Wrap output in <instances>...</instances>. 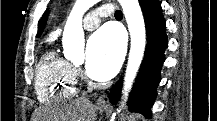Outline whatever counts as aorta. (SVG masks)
Wrapping results in <instances>:
<instances>
[{"label":"aorta","mask_w":217,"mask_h":121,"mask_svg":"<svg viewBox=\"0 0 217 121\" xmlns=\"http://www.w3.org/2000/svg\"><path fill=\"white\" fill-rule=\"evenodd\" d=\"M97 2L98 0H76L67 19L62 38L64 55L67 59L75 61L84 58L82 18L84 13ZM119 3L122 6L131 37L130 53L123 85V96L126 99L144 56L146 31L139 1L119 0Z\"/></svg>","instance_id":"1"}]
</instances>
